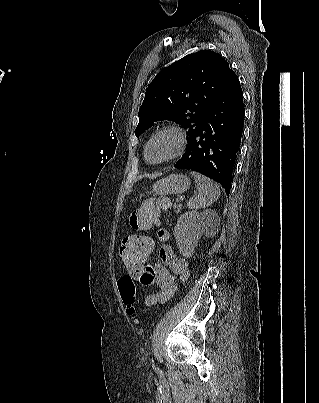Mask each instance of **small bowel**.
<instances>
[{
    "mask_svg": "<svg viewBox=\"0 0 319 403\" xmlns=\"http://www.w3.org/2000/svg\"><path fill=\"white\" fill-rule=\"evenodd\" d=\"M157 234L158 240L164 243L159 250L161 262L151 263L150 267H147V271L142 272L139 279L141 286H152L155 282L159 287V291L149 294L145 299L146 306L150 307L170 301L176 293V280H184L188 276L187 259L178 256L172 247L166 244L170 239V232L162 228L158 230ZM154 249L155 241L153 240L152 252Z\"/></svg>",
    "mask_w": 319,
    "mask_h": 403,
    "instance_id": "c3829d8e",
    "label": "small bowel"
}]
</instances>
